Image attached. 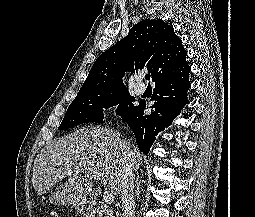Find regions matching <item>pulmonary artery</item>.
I'll use <instances>...</instances> for the list:
<instances>
[{
  "mask_svg": "<svg viewBox=\"0 0 255 217\" xmlns=\"http://www.w3.org/2000/svg\"><path fill=\"white\" fill-rule=\"evenodd\" d=\"M143 76H138L135 83V93L142 95L145 92V86L141 83Z\"/></svg>",
  "mask_w": 255,
  "mask_h": 217,
  "instance_id": "1",
  "label": "pulmonary artery"
}]
</instances>
